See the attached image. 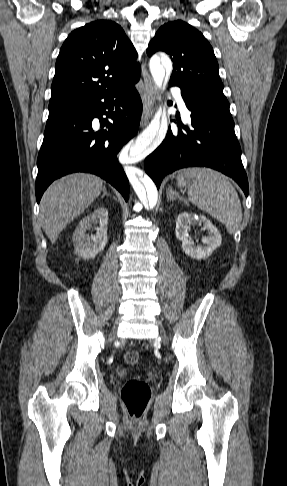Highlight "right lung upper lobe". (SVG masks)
Returning a JSON list of instances; mask_svg holds the SVG:
<instances>
[{"mask_svg": "<svg viewBox=\"0 0 287 486\" xmlns=\"http://www.w3.org/2000/svg\"><path fill=\"white\" fill-rule=\"evenodd\" d=\"M136 58L133 44L113 21L98 20L74 30L56 60L49 111L74 109L139 80Z\"/></svg>", "mask_w": 287, "mask_h": 486, "instance_id": "obj_1", "label": "right lung upper lobe"}]
</instances>
